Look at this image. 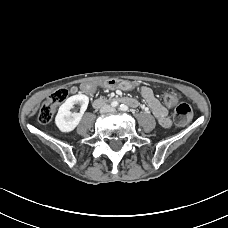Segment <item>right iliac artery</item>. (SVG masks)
<instances>
[{"mask_svg": "<svg viewBox=\"0 0 228 228\" xmlns=\"http://www.w3.org/2000/svg\"><path fill=\"white\" fill-rule=\"evenodd\" d=\"M111 106H112V107H117V106H118V102H117V101H113V102L111 103Z\"/></svg>", "mask_w": 228, "mask_h": 228, "instance_id": "right-iliac-artery-1", "label": "right iliac artery"}]
</instances>
